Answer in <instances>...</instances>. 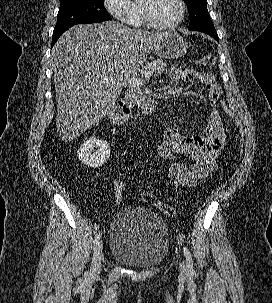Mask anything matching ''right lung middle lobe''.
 Segmentation results:
<instances>
[{
    "instance_id": "dd1d6c3e",
    "label": "right lung middle lobe",
    "mask_w": 272,
    "mask_h": 303,
    "mask_svg": "<svg viewBox=\"0 0 272 303\" xmlns=\"http://www.w3.org/2000/svg\"><path fill=\"white\" fill-rule=\"evenodd\" d=\"M111 20L103 0H60L55 31L63 30L79 23H96Z\"/></svg>"
}]
</instances>
